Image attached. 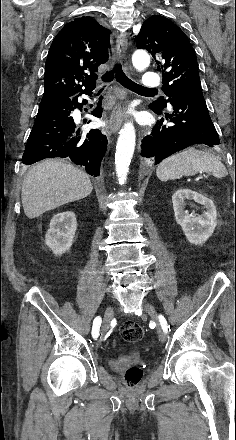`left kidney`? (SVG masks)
Wrapping results in <instances>:
<instances>
[{
	"instance_id": "5707ae66",
	"label": "left kidney",
	"mask_w": 236,
	"mask_h": 440,
	"mask_svg": "<svg viewBox=\"0 0 236 440\" xmlns=\"http://www.w3.org/2000/svg\"><path fill=\"white\" fill-rule=\"evenodd\" d=\"M188 200L203 205L204 213L198 216L189 214L185 210ZM172 203L176 222L181 226L186 239L195 245L205 243L217 226V212L213 201L190 189H179L173 194Z\"/></svg>"
}]
</instances>
